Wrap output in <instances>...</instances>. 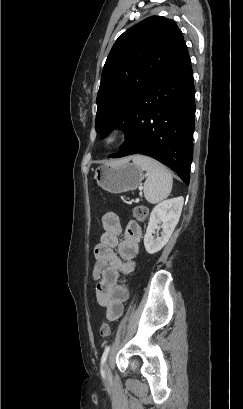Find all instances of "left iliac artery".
Instances as JSON below:
<instances>
[{"label": "left iliac artery", "instance_id": "1", "mask_svg": "<svg viewBox=\"0 0 243 409\" xmlns=\"http://www.w3.org/2000/svg\"><path fill=\"white\" fill-rule=\"evenodd\" d=\"M109 351H110V346H107V347L105 348L104 353H103L102 358H101V375H102L103 377H104L103 365H104V363L106 362V359H107V357H108Z\"/></svg>", "mask_w": 243, "mask_h": 409}]
</instances>
